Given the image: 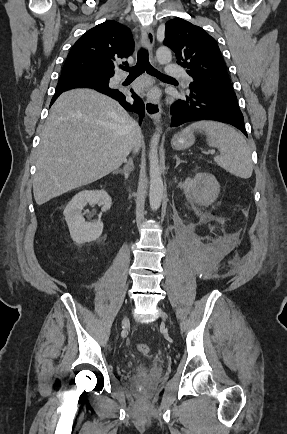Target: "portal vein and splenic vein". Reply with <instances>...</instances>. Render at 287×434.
<instances>
[{
    "label": "portal vein and splenic vein",
    "instance_id": "obj_1",
    "mask_svg": "<svg viewBox=\"0 0 287 434\" xmlns=\"http://www.w3.org/2000/svg\"><path fill=\"white\" fill-rule=\"evenodd\" d=\"M214 153H215V151H214V150H211V151H210V154H214Z\"/></svg>",
    "mask_w": 287,
    "mask_h": 434
}]
</instances>
